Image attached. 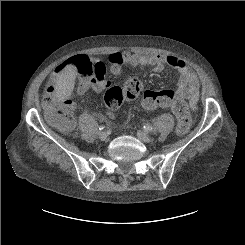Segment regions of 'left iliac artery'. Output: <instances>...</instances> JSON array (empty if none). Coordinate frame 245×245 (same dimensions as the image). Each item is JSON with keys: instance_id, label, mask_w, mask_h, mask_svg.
<instances>
[{"instance_id": "1", "label": "left iliac artery", "mask_w": 245, "mask_h": 245, "mask_svg": "<svg viewBox=\"0 0 245 245\" xmlns=\"http://www.w3.org/2000/svg\"><path fill=\"white\" fill-rule=\"evenodd\" d=\"M143 129L146 131V132H150L153 130L152 126L148 125V124H145L143 126Z\"/></svg>"}]
</instances>
